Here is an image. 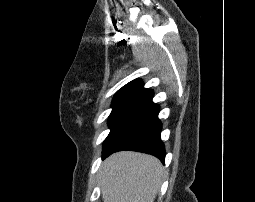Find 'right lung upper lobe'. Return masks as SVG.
<instances>
[{"mask_svg": "<svg viewBox=\"0 0 255 202\" xmlns=\"http://www.w3.org/2000/svg\"><path fill=\"white\" fill-rule=\"evenodd\" d=\"M153 91L143 87L141 80H134L122 87L112 101V112L138 114L153 104Z\"/></svg>", "mask_w": 255, "mask_h": 202, "instance_id": "right-lung-upper-lobe-1", "label": "right lung upper lobe"}]
</instances>
